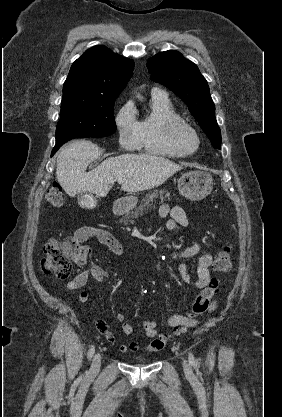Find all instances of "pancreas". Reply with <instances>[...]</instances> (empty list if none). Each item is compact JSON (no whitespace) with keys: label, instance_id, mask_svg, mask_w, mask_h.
Returning a JSON list of instances; mask_svg holds the SVG:
<instances>
[{"label":"pancreas","instance_id":"cf45deb5","mask_svg":"<svg viewBox=\"0 0 282 417\" xmlns=\"http://www.w3.org/2000/svg\"><path fill=\"white\" fill-rule=\"evenodd\" d=\"M155 198H160L159 204L167 198V200H170V192L167 190V188H162V190H158V188H155L153 192H150V194H146L145 198H142V204L140 206H137V209L135 211H129L125 217H122L120 219L119 223H124V225H133L134 219H138L139 215H141L142 211H144V206H151L153 200Z\"/></svg>","mask_w":282,"mask_h":417}]
</instances>
